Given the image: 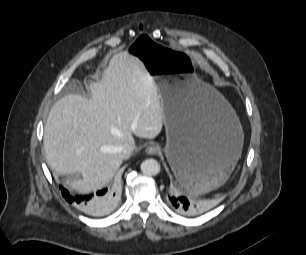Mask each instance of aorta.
Here are the masks:
<instances>
[{"label":"aorta","instance_id":"obj_1","mask_svg":"<svg viewBox=\"0 0 306 255\" xmlns=\"http://www.w3.org/2000/svg\"><path fill=\"white\" fill-rule=\"evenodd\" d=\"M161 170L157 160L150 158L141 163V171L146 175H157Z\"/></svg>","mask_w":306,"mask_h":255}]
</instances>
